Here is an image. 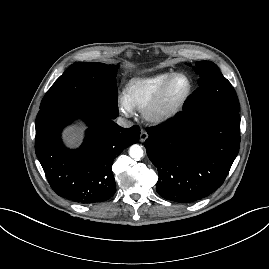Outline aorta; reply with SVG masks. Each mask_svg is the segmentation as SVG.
Wrapping results in <instances>:
<instances>
[{
  "instance_id": "762f6f07",
  "label": "aorta",
  "mask_w": 269,
  "mask_h": 269,
  "mask_svg": "<svg viewBox=\"0 0 269 269\" xmlns=\"http://www.w3.org/2000/svg\"><path fill=\"white\" fill-rule=\"evenodd\" d=\"M143 149L140 145L134 144L129 148V155L132 159L139 161L143 157Z\"/></svg>"
}]
</instances>
